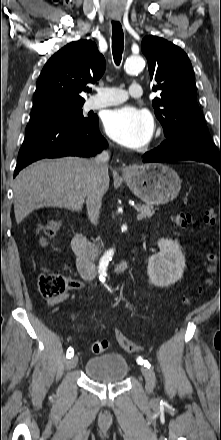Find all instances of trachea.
Wrapping results in <instances>:
<instances>
[{
	"label": "trachea",
	"instance_id": "1",
	"mask_svg": "<svg viewBox=\"0 0 221 440\" xmlns=\"http://www.w3.org/2000/svg\"><path fill=\"white\" fill-rule=\"evenodd\" d=\"M124 48V33L119 22L112 21V53L114 62L119 65Z\"/></svg>",
	"mask_w": 221,
	"mask_h": 440
}]
</instances>
